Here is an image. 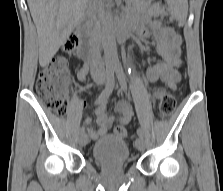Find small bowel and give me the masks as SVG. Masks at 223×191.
I'll use <instances>...</instances> for the list:
<instances>
[{
	"label": "small bowel",
	"mask_w": 223,
	"mask_h": 191,
	"mask_svg": "<svg viewBox=\"0 0 223 191\" xmlns=\"http://www.w3.org/2000/svg\"><path fill=\"white\" fill-rule=\"evenodd\" d=\"M160 13L158 6L154 5L151 8V15ZM136 29L143 37L152 35L155 40V46L162 60L147 69V78L150 82L161 80L170 90L175 91L180 81L179 67L181 65V47L182 38L174 30L165 28L157 19H147L136 25ZM90 65H83L78 71V77L81 81L85 80L89 72ZM165 94L163 89H157L154 92V98L159 99ZM107 99L97 101L95 109L97 115V128L90 127L92 119L86 117L83 119V124L91 139H98L106 135L111 126L116 122L121 125L129 123L132 117V108L125 101H119L115 105L116 115L106 113Z\"/></svg>",
	"instance_id": "c3829d8e"
}]
</instances>
